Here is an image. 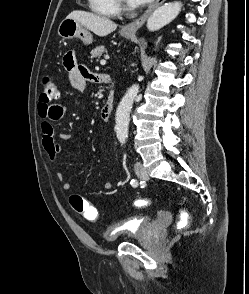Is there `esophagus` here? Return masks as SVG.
Returning a JSON list of instances; mask_svg holds the SVG:
<instances>
[{
	"mask_svg": "<svg viewBox=\"0 0 249 294\" xmlns=\"http://www.w3.org/2000/svg\"><path fill=\"white\" fill-rule=\"evenodd\" d=\"M166 0H156L146 11L145 13L139 17L137 20L125 25L122 28V31L127 34H135L137 30L145 23L147 18L151 15V13L158 8L161 4H163Z\"/></svg>",
	"mask_w": 249,
	"mask_h": 294,
	"instance_id": "1",
	"label": "esophagus"
}]
</instances>
